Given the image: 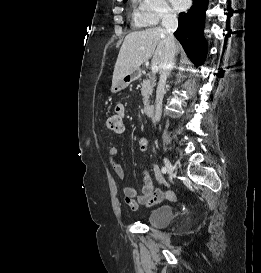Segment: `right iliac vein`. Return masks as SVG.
I'll list each match as a JSON object with an SVG mask.
<instances>
[{"label": "right iliac vein", "mask_w": 261, "mask_h": 273, "mask_svg": "<svg viewBox=\"0 0 261 273\" xmlns=\"http://www.w3.org/2000/svg\"><path fill=\"white\" fill-rule=\"evenodd\" d=\"M164 164H165V168L168 174H172L173 173V166L171 164V162L167 159L164 158Z\"/></svg>", "instance_id": "1"}]
</instances>
